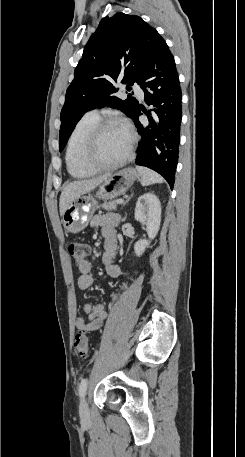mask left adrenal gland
Listing matches in <instances>:
<instances>
[{"mask_svg": "<svg viewBox=\"0 0 245 457\" xmlns=\"http://www.w3.org/2000/svg\"><path fill=\"white\" fill-rule=\"evenodd\" d=\"M134 192H132V194H130V196H128V198H126L125 202H127V200H129V198H131V196H133ZM124 202V204H125Z\"/></svg>", "mask_w": 245, "mask_h": 457, "instance_id": "left-adrenal-gland-1", "label": "left adrenal gland"}]
</instances>
